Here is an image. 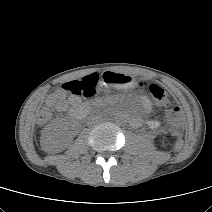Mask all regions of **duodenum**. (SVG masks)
I'll return each instance as SVG.
<instances>
[{"instance_id": "1", "label": "duodenum", "mask_w": 212, "mask_h": 212, "mask_svg": "<svg viewBox=\"0 0 212 212\" xmlns=\"http://www.w3.org/2000/svg\"><path fill=\"white\" fill-rule=\"evenodd\" d=\"M92 109L89 104H77L72 107L71 116L75 120L82 119Z\"/></svg>"}]
</instances>
